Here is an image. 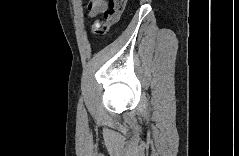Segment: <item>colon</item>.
I'll return each instance as SVG.
<instances>
[{
    "instance_id": "1",
    "label": "colon",
    "mask_w": 239,
    "mask_h": 156,
    "mask_svg": "<svg viewBox=\"0 0 239 156\" xmlns=\"http://www.w3.org/2000/svg\"><path fill=\"white\" fill-rule=\"evenodd\" d=\"M126 0H109L108 7L104 12V20L96 21L91 29L92 35L103 36L109 28L116 24L125 8Z\"/></svg>"
}]
</instances>
